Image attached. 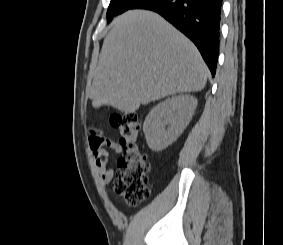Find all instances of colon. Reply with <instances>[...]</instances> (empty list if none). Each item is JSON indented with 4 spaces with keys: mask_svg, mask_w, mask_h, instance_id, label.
Instances as JSON below:
<instances>
[{
    "mask_svg": "<svg viewBox=\"0 0 283 245\" xmlns=\"http://www.w3.org/2000/svg\"><path fill=\"white\" fill-rule=\"evenodd\" d=\"M111 125L117 130L122 146L118 160V171L113 188L130 206H137L149 197L147 156L138 146L140 124L134 113H115L110 117Z\"/></svg>",
    "mask_w": 283,
    "mask_h": 245,
    "instance_id": "1",
    "label": "colon"
}]
</instances>
